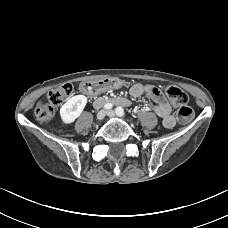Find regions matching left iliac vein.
<instances>
[{
    "label": "left iliac vein",
    "instance_id": "left-iliac-vein-1",
    "mask_svg": "<svg viewBox=\"0 0 228 228\" xmlns=\"http://www.w3.org/2000/svg\"><path fill=\"white\" fill-rule=\"evenodd\" d=\"M107 115H108L109 117H115V116H116V114H115V112H114L113 110H109V111L107 112Z\"/></svg>",
    "mask_w": 228,
    "mask_h": 228
}]
</instances>
